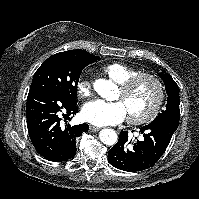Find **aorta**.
Wrapping results in <instances>:
<instances>
[{"instance_id": "aorta-1", "label": "aorta", "mask_w": 199, "mask_h": 199, "mask_svg": "<svg viewBox=\"0 0 199 199\" xmlns=\"http://www.w3.org/2000/svg\"><path fill=\"white\" fill-rule=\"evenodd\" d=\"M94 89L102 98L111 100L115 84L110 80L98 79L94 83ZM99 138L106 145H114L117 142V133L112 129H103L99 133Z\"/></svg>"}]
</instances>
